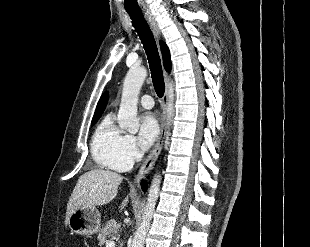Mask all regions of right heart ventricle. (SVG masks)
Wrapping results in <instances>:
<instances>
[{
    "instance_id": "1",
    "label": "right heart ventricle",
    "mask_w": 310,
    "mask_h": 247,
    "mask_svg": "<svg viewBox=\"0 0 310 247\" xmlns=\"http://www.w3.org/2000/svg\"><path fill=\"white\" fill-rule=\"evenodd\" d=\"M122 135L112 115L107 114L98 124L91 140L92 158L98 166L118 170L114 160Z\"/></svg>"
}]
</instances>
